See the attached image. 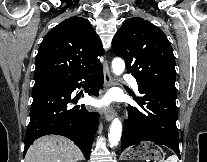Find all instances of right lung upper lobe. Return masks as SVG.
I'll use <instances>...</instances> for the list:
<instances>
[{
  "mask_svg": "<svg viewBox=\"0 0 207 162\" xmlns=\"http://www.w3.org/2000/svg\"><path fill=\"white\" fill-rule=\"evenodd\" d=\"M104 50L88 20L70 17L44 37L35 61V87L48 85L101 66Z\"/></svg>",
  "mask_w": 207,
  "mask_h": 162,
  "instance_id": "obj_1",
  "label": "right lung upper lobe"
}]
</instances>
